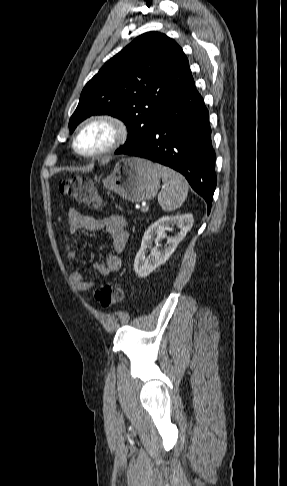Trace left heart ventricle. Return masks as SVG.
I'll return each mask as SVG.
<instances>
[{
    "instance_id": "b2bd125f",
    "label": "left heart ventricle",
    "mask_w": 287,
    "mask_h": 486,
    "mask_svg": "<svg viewBox=\"0 0 287 486\" xmlns=\"http://www.w3.org/2000/svg\"><path fill=\"white\" fill-rule=\"evenodd\" d=\"M111 140V129L107 125L95 124L81 133L77 146L81 151L92 152L107 146Z\"/></svg>"
}]
</instances>
